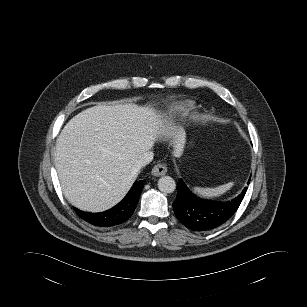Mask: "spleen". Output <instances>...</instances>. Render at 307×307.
<instances>
[{
	"label": "spleen",
	"instance_id": "3e777b00",
	"mask_svg": "<svg viewBox=\"0 0 307 307\" xmlns=\"http://www.w3.org/2000/svg\"><path fill=\"white\" fill-rule=\"evenodd\" d=\"M232 183H228L216 188H194V191L205 197H214L223 194L232 187Z\"/></svg>",
	"mask_w": 307,
	"mask_h": 307
}]
</instances>
